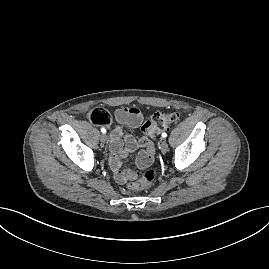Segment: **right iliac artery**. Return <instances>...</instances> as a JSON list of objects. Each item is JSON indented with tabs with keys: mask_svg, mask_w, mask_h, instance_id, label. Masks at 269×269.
<instances>
[{
	"mask_svg": "<svg viewBox=\"0 0 269 269\" xmlns=\"http://www.w3.org/2000/svg\"><path fill=\"white\" fill-rule=\"evenodd\" d=\"M101 132L103 133V134H105L106 133V129L103 127V128H101Z\"/></svg>",
	"mask_w": 269,
	"mask_h": 269,
	"instance_id": "right-iliac-artery-1",
	"label": "right iliac artery"
}]
</instances>
